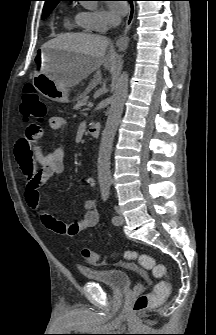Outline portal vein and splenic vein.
<instances>
[{"mask_svg": "<svg viewBox=\"0 0 216 335\" xmlns=\"http://www.w3.org/2000/svg\"><path fill=\"white\" fill-rule=\"evenodd\" d=\"M88 107H93V103L92 102L88 103Z\"/></svg>", "mask_w": 216, "mask_h": 335, "instance_id": "portal-vein-and-splenic-vein-1", "label": "portal vein and splenic vein"}]
</instances>
